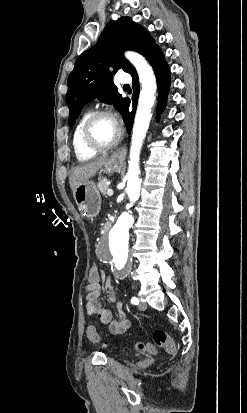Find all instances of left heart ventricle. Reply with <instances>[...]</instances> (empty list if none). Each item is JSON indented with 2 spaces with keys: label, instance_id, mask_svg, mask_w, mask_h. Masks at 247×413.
<instances>
[{
  "label": "left heart ventricle",
  "instance_id": "obj_1",
  "mask_svg": "<svg viewBox=\"0 0 247 413\" xmlns=\"http://www.w3.org/2000/svg\"><path fill=\"white\" fill-rule=\"evenodd\" d=\"M118 128L112 127L106 117L99 118L90 129V138L100 144L112 141L118 134Z\"/></svg>",
  "mask_w": 247,
  "mask_h": 413
}]
</instances>
